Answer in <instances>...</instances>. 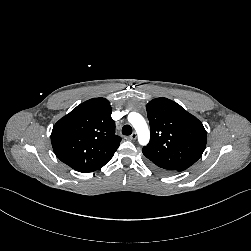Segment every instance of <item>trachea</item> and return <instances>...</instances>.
Instances as JSON below:
<instances>
[{"instance_id":"obj_1","label":"trachea","mask_w":251,"mask_h":251,"mask_svg":"<svg viewBox=\"0 0 251 251\" xmlns=\"http://www.w3.org/2000/svg\"><path fill=\"white\" fill-rule=\"evenodd\" d=\"M122 134L123 135H131L132 134V127L130 125H125L122 128Z\"/></svg>"}]
</instances>
